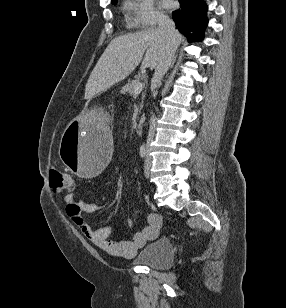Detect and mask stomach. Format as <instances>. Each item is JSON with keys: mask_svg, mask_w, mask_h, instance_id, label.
<instances>
[{"mask_svg": "<svg viewBox=\"0 0 286 308\" xmlns=\"http://www.w3.org/2000/svg\"><path fill=\"white\" fill-rule=\"evenodd\" d=\"M113 103H92L81 117L70 118L62 130L61 142L56 147L62 164L78 174H101L113 153L111 133H116Z\"/></svg>", "mask_w": 286, "mask_h": 308, "instance_id": "stomach-1", "label": "stomach"}]
</instances>
